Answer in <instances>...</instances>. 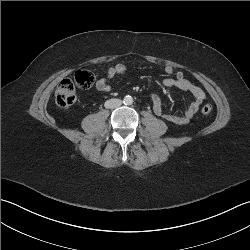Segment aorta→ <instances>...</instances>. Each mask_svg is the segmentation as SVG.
I'll list each match as a JSON object with an SVG mask.
<instances>
[{
  "mask_svg": "<svg viewBox=\"0 0 250 250\" xmlns=\"http://www.w3.org/2000/svg\"><path fill=\"white\" fill-rule=\"evenodd\" d=\"M123 103L125 105H131L133 103V98L131 96H125L123 99Z\"/></svg>",
  "mask_w": 250,
  "mask_h": 250,
  "instance_id": "1",
  "label": "aorta"
}]
</instances>
